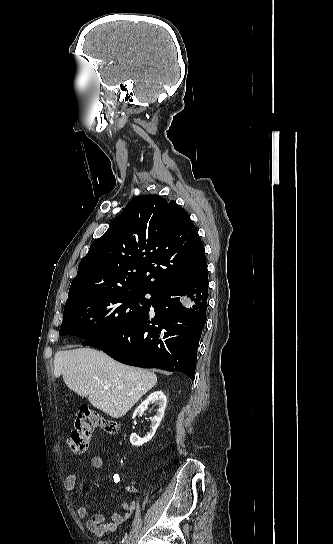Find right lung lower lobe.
I'll return each instance as SVG.
<instances>
[{"label":"right lung lower lobe","instance_id":"obj_1","mask_svg":"<svg viewBox=\"0 0 333 544\" xmlns=\"http://www.w3.org/2000/svg\"><path fill=\"white\" fill-rule=\"evenodd\" d=\"M207 299L206 270L190 281L154 293V316L148 310L127 328L82 344L97 347L127 365L181 371L193 380Z\"/></svg>","mask_w":333,"mask_h":544}]
</instances>
